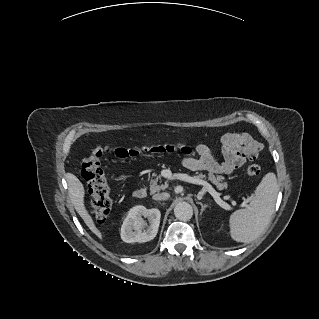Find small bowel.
<instances>
[{"mask_svg":"<svg viewBox=\"0 0 319 319\" xmlns=\"http://www.w3.org/2000/svg\"><path fill=\"white\" fill-rule=\"evenodd\" d=\"M221 147L224 160L218 162L212 149L200 144L197 157H183L181 162L191 171H209L216 174H231L235 169L256 157L260 146L246 133H229L223 136Z\"/></svg>","mask_w":319,"mask_h":319,"instance_id":"c3829d8e","label":"small bowel"}]
</instances>
